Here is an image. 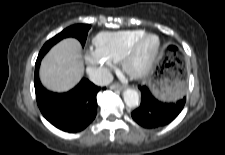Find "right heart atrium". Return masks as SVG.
I'll use <instances>...</instances> for the list:
<instances>
[{"instance_id":"d8ad5b80","label":"right heart atrium","mask_w":225,"mask_h":155,"mask_svg":"<svg viewBox=\"0 0 225 155\" xmlns=\"http://www.w3.org/2000/svg\"><path fill=\"white\" fill-rule=\"evenodd\" d=\"M88 72L96 78H104L113 67V62L101 56L95 49L85 55Z\"/></svg>"}]
</instances>
